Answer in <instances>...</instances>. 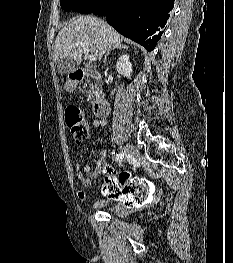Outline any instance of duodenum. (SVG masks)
Returning <instances> with one entry per match:
<instances>
[{
    "instance_id": "1",
    "label": "duodenum",
    "mask_w": 233,
    "mask_h": 263,
    "mask_svg": "<svg viewBox=\"0 0 233 263\" xmlns=\"http://www.w3.org/2000/svg\"><path fill=\"white\" fill-rule=\"evenodd\" d=\"M98 79L99 75L97 72L90 69H77L71 75V80L75 83H80L86 78ZM92 94L90 96L91 100H95L93 103V112L99 118L106 117L110 112V104L105 97L104 90L98 89L97 87L91 88Z\"/></svg>"
}]
</instances>
